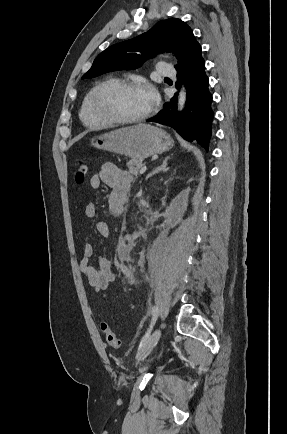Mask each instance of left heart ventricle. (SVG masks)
Here are the masks:
<instances>
[{"mask_svg":"<svg viewBox=\"0 0 287 434\" xmlns=\"http://www.w3.org/2000/svg\"><path fill=\"white\" fill-rule=\"evenodd\" d=\"M103 109L118 118H134L149 110L143 87L112 88L102 99Z\"/></svg>","mask_w":287,"mask_h":434,"instance_id":"1","label":"left heart ventricle"}]
</instances>
